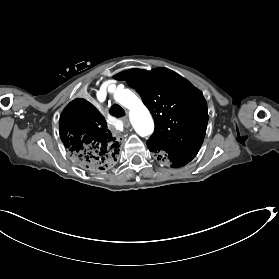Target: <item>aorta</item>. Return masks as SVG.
Returning <instances> with one entry per match:
<instances>
[{"mask_svg":"<svg viewBox=\"0 0 279 279\" xmlns=\"http://www.w3.org/2000/svg\"><path fill=\"white\" fill-rule=\"evenodd\" d=\"M115 100L130 110V121L138 135L145 137L153 133L154 122L143 102L129 89H117Z\"/></svg>","mask_w":279,"mask_h":279,"instance_id":"obj_1","label":"aorta"}]
</instances>
